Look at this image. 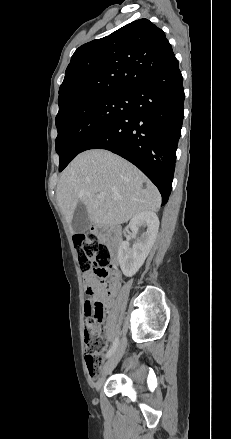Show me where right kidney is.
<instances>
[{
	"label": "right kidney",
	"instance_id": "right-kidney-1",
	"mask_svg": "<svg viewBox=\"0 0 231 439\" xmlns=\"http://www.w3.org/2000/svg\"><path fill=\"white\" fill-rule=\"evenodd\" d=\"M140 227L146 228V231L135 241L133 247L130 248L129 243L125 241L121 243L118 250L119 264L123 274L127 277L135 275L148 256L158 233V216L149 211L137 214L130 220L124 234L128 228L133 233H137Z\"/></svg>",
	"mask_w": 231,
	"mask_h": 439
}]
</instances>
